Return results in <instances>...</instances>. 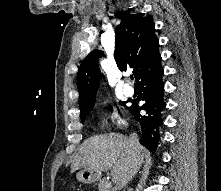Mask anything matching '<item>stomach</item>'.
<instances>
[{"label": "stomach", "instance_id": "1", "mask_svg": "<svg viewBox=\"0 0 221 191\" xmlns=\"http://www.w3.org/2000/svg\"><path fill=\"white\" fill-rule=\"evenodd\" d=\"M76 177L79 182L91 184L100 180L101 173L96 170L84 168L77 173Z\"/></svg>", "mask_w": 221, "mask_h": 191}]
</instances>
